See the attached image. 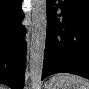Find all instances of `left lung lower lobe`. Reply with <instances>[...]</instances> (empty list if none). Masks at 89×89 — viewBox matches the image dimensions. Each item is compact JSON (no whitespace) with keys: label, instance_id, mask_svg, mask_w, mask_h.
<instances>
[{"label":"left lung lower lobe","instance_id":"left-lung-lower-lobe-1","mask_svg":"<svg viewBox=\"0 0 89 89\" xmlns=\"http://www.w3.org/2000/svg\"><path fill=\"white\" fill-rule=\"evenodd\" d=\"M46 8L42 80L61 72L89 79V0H46Z\"/></svg>","mask_w":89,"mask_h":89}]
</instances>
